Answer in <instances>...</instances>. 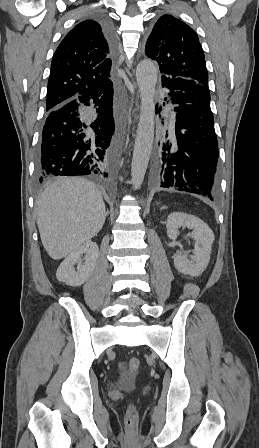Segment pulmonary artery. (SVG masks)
Here are the masks:
<instances>
[{
	"instance_id": "obj_1",
	"label": "pulmonary artery",
	"mask_w": 259,
	"mask_h": 448,
	"mask_svg": "<svg viewBox=\"0 0 259 448\" xmlns=\"http://www.w3.org/2000/svg\"><path fill=\"white\" fill-rule=\"evenodd\" d=\"M168 109H169V110H172V109H173V104H172V101H171V100H169Z\"/></svg>"
}]
</instances>
